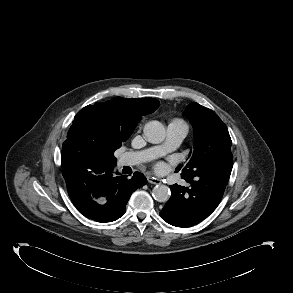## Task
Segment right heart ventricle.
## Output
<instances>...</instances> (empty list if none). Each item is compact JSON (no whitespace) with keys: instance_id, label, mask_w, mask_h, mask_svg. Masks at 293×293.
Masks as SVG:
<instances>
[{"instance_id":"e07e8e85","label":"right heart ventricle","mask_w":293,"mask_h":293,"mask_svg":"<svg viewBox=\"0 0 293 293\" xmlns=\"http://www.w3.org/2000/svg\"><path fill=\"white\" fill-rule=\"evenodd\" d=\"M171 123H178V124L185 125L181 120H177V119L176 120H173Z\"/></svg>"}]
</instances>
